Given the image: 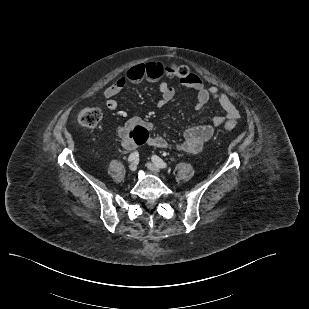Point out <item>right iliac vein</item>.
Listing matches in <instances>:
<instances>
[{"label": "right iliac vein", "mask_w": 309, "mask_h": 309, "mask_svg": "<svg viewBox=\"0 0 309 309\" xmlns=\"http://www.w3.org/2000/svg\"><path fill=\"white\" fill-rule=\"evenodd\" d=\"M129 169H130L132 172L136 171V169H137L136 163H131V164L129 165Z\"/></svg>", "instance_id": "obj_1"}]
</instances>
